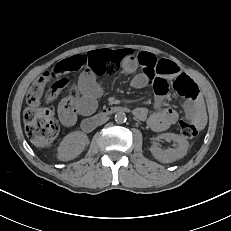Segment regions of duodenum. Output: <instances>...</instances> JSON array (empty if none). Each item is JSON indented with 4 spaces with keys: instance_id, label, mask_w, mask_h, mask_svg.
<instances>
[{
    "instance_id": "410a0bca",
    "label": "duodenum",
    "mask_w": 231,
    "mask_h": 231,
    "mask_svg": "<svg viewBox=\"0 0 231 231\" xmlns=\"http://www.w3.org/2000/svg\"><path fill=\"white\" fill-rule=\"evenodd\" d=\"M130 111L128 107L126 106H120V105H111L103 108L96 114L90 116L89 118L85 119L82 122V130L85 132L92 131L95 127H97L99 124L98 122L107 116H111L113 114L119 113V112H128ZM134 114H136V110L133 111Z\"/></svg>"
}]
</instances>
